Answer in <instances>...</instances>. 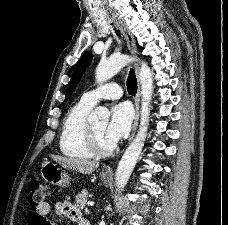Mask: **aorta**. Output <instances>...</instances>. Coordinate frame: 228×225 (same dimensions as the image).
Returning <instances> with one entry per match:
<instances>
[{"label":"aorta","instance_id":"1","mask_svg":"<svg viewBox=\"0 0 228 225\" xmlns=\"http://www.w3.org/2000/svg\"><path fill=\"white\" fill-rule=\"evenodd\" d=\"M131 56L128 54H119L114 52L107 60H100L95 70V78L99 84L106 82L109 78H112L114 74L119 72L120 68H123L125 64L131 62ZM139 80L141 82V121L140 127L137 131L135 139L130 143L128 149H126L121 161L118 163L116 175H115V187L117 193H121L124 187H126L131 173L139 159V155L144 147V141L146 139V133L148 129V121L150 115V102L153 92V76L151 68H149L146 62L141 60V66L139 70ZM110 113L108 108L104 106H97L94 108L93 113L88 117V123H98L99 119L109 121Z\"/></svg>","mask_w":228,"mask_h":225}]
</instances>
